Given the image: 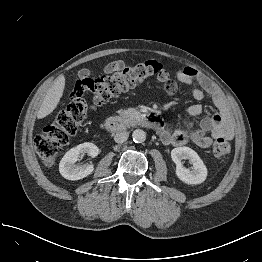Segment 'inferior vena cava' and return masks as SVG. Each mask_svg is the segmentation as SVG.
<instances>
[{"label":"inferior vena cava","mask_w":262,"mask_h":262,"mask_svg":"<svg viewBox=\"0 0 262 262\" xmlns=\"http://www.w3.org/2000/svg\"><path fill=\"white\" fill-rule=\"evenodd\" d=\"M129 133L125 130L119 131L115 134L114 140L117 143H123L128 139Z\"/></svg>","instance_id":"inferior-vena-cava-1"}]
</instances>
